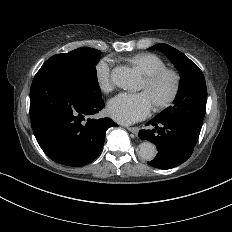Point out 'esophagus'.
<instances>
[{
    "mask_svg": "<svg viewBox=\"0 0 232 232\" xmlns=\"http://www.w3.org/2000/svg\"><path fill=\"white\" fill-rule=\"evenodd\" d=\"M126 129L132 132L133 134H137L139 131V127H126Z\"/></svg>",
    "mask_w": 232,
    "mask_h": 232,
    "instance_id": "1",
    "label": "esophagus"
}]
</instances>
